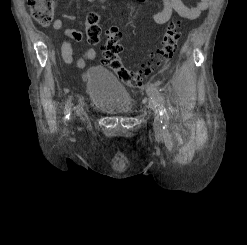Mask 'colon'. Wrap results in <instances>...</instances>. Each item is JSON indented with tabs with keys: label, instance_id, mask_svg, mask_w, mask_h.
Returning <instances> with one entry per match:
<instances>
[{
	"label": "colon",
	"instance_id": "colon-1",
	"mask_svg": "<svg viewBox=\"0 0 247 245\" xmlns=\"http://www.w3.org/2000/svg\"><path fill=\"white\" fill-rule=\"evenodd\" d=\"M32 17L41 25H49L54 17L55 0H27ZM86 36L89 43L96 45L100 41V14L91 11L86 16ZM181 36L180 22L169 24L165 34L161 37L158 47L151 54L149 60L139 70L126 68L120 54L123 47L116 34L109 33L104 45L103 62L126 85L140 87L146 83L148 77L157 69L162 68L177 52V43Z\"/></svg>",
	"mask_w": 247,
	"mask_h": 245
}]
</instances>
